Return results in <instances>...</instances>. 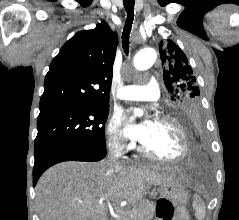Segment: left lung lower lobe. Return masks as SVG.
Returning <instances> with one entry per match:
<instances>
[{
  "label": "left lung lower lobe",
  "mask_w": 239,
  "mask_h": 220,
  "mask_svg": "<svg viewBox=\"0 0 239 220\" xmlns=\"http://www.w3.org/2000/svg\"><path fill=\"white\" fill-rule=\"evenodd\" d=\"M176 117L189 134L193 148L192 160L196 163H200V154L203 146V121L201 110H185Z\"/></svg>",
  "instance_id": "0a47b994"
}]
</instances>
